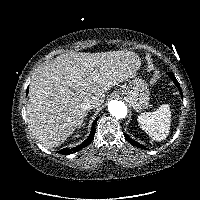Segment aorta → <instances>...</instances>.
<instances>
[{
	"instance_id": "762f6f07",
	"label": "aorta",
	"mask_w": 200,
	"mask_h": 200,
	"mask_svg": "<svg viewBox=\"0 0 200 200\" xmlns=\"http://www.w3.org/2000/svg\"><path fill=\"white\" fill-rule=\"evenodd\" d=\"M109 113L115 118L122 119L127 115V106L124 102L118 100H112L108 105Z\"/></svg>"
}]
</instances>
